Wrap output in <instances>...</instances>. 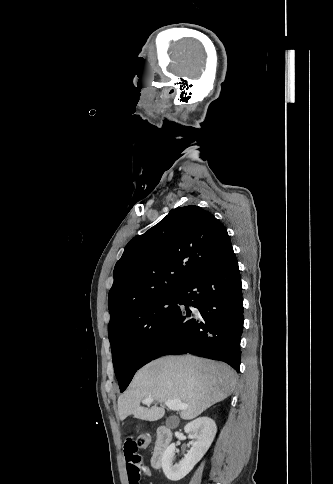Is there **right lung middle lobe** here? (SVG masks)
Instances as JSON below:
<instances>
[{"instance_id":"1","label":"right lung middle lobe","mask_w":333,"mask_h":484,"mask_svg":"<svg viewBox=\"0 0 333 484\" xmlns=\"http://www.w3.org/2000/svg\"><path fill=\"white\" fill-rule=\"evenodd\" d=\"M179 291L155 297L127 311L108 327L115 375L129 385L144 351L178 306Z\"/></svg>"}]
</instances>
